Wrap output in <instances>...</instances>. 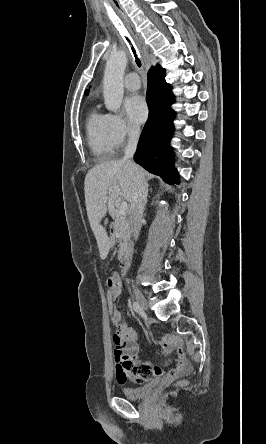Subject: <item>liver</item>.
Returning <instances> with one entry per match:
<instances>
[{
  "instance_id": "1",
  "label": "liver",
  "mask_w": 266,
  "mask_h": 444,
  "mask_svg": "<svg viewBox=\"0 0 266 444\" xmlns=\"http://www.w3.org/2000/svg\"><path fill=\"white\" fill-rule=\"evenodd\" d=\"M137 175L144 177V170L140 166L129 160L118 159L94 166L85 177L87 215L102 260L106 259L112 242L100 224L101 220L107 212L114 215L120 194L131 202Z\"/></svg>"
}]
</instances>
